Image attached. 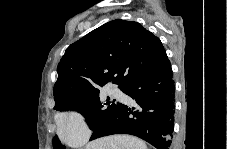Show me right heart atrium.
<instances>
[{"label":"right heart atrium","mask_w":227,"mask_h":149,"mask_svg":"<svg viewBox=\"0 0 227 149\" xmlns=\"http://www.w3.org/2000/svg\"><path fill=\"white\" fill-rule=\"evenodd\" d=\"M58 126L63 139L71 145L83 144L89 136L84 118L77 111L62 114L58 119Z\"/></svg>","instance_id":"right-heart-atrium-1"}]
</instances>
